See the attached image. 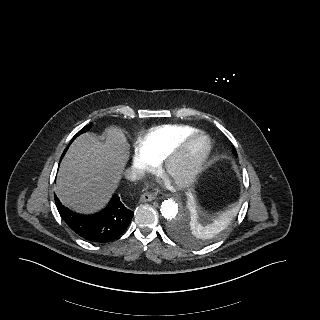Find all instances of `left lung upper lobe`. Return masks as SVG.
<instances>
[{
    "mask_svg": "<svg viewBox=\"0 0 320 320\" xmlns=\"http://www.w3.org/2000/svg\"><path fill=\"white\" fill-rule=\"evenodd\" d=\"M233 154H234L235 156H237V152H236L235 148H233Z\"/></svg>",
    "mask_w": 320,
    "mask_h": 320,
    "instance_id": "1",
    "label": "left lung upper lobe"
}]
</instances>
